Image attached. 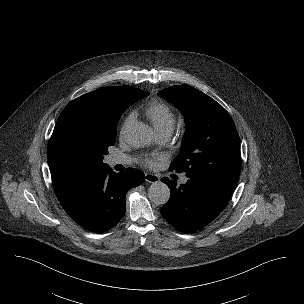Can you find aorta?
<instances>
[{
  "mask_svg": "<svg viewBox=\"0 0 304 304\" xmlns=\"http://www.w3.org/2000/svg\"><path fill=\"white\" fill-rule=\"evenodd\" d=\"M150 134L151 130L148 125L135 123L127 130L126 140L131 146L142 147L148 143ZM170 194L169 187L161 181L153 182L148 191L149 199L156 205L167 203Z\"/></svg>",
  "mask_w": 304,
  "mask_h": 304,
  "instance_id": "762f6f07",
  "label": "aorta"
}]
</instances>
